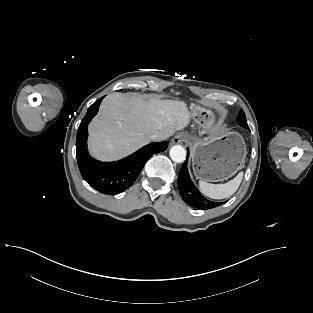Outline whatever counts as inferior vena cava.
<instances>
[{"instance_id":"602c4592","label":"inferior vena cava","mask_w":313,"mask_h":313,"mask_svg":"<svg viewBox=\"0 0 313 313\" xmlns=\"http://www.w3.org/2000/svg\"><path fill=\"white\" fill-rule=\"evenodd\" d=\"M149 137L151 140H162V135L159 132L153 133Z\"/></svg>"}]
</instances>
